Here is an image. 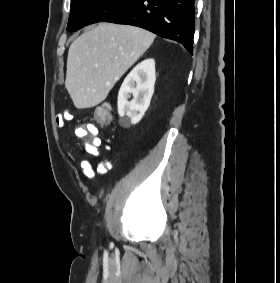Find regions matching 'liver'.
<instances>
[{"instance_id": "liver-1", "label": "liver", "mask_w": 280, "mask_h": 283, "mask_svg": "<svg viewBox=\"0 0 280 283\" xmlns=\"http://www.w3.org/2000/svg\"><path fill=\"white\" fill-rule=\"evenodd\" d=\"M154 39L145 29L103 22L79 36L69 47L65 80L74 106L84 109L103 102Z\"/></svg>"}]
</instances>
